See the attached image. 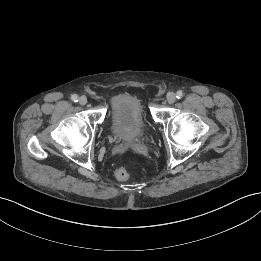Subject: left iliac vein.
I'll list each match as a JSON object with an SVG mask.
<instances>
[{
    "label": "left iliac vein",
    "instance_id": "obj_1",
    "mask_svg": "<svg viewBox=\"0 0 261 261\" xmlns=\"http://www.w3.org/2000/svg\"><path fill=\"white\" fill-rule=\"evenodd\" d=\"M166 98L169 104H173L176 101V95L173 92H169Z\"/></svg>",
    "mask_w": 261,
    "mask_h": 261
}]
</instances>
